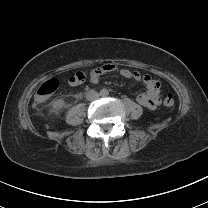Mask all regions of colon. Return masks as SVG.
Masks as SVG:
<instances>
[{
    "label": "colon",
    "instance_id": "1",
    "mask_svg": "<svg viewBox=\"0 0 208 208\" xmlns=\"http://www.w3.org/2000/svg\"><path fill=\"white\" fill-rule=\"evenodd\" d=\"M74 76H72L68 80L69 86H74L77 83L83 85L86 83V73L80 70L74 71ZM61 85V80L57 76H52L46 79L42 84L39 85L38 90L36 92V99L34 100V107L36 109H44L46 107V101L48 100L51 93L59 88ZM164 105L168 108L174 106V100L171 97H167L164 101Z\"/></svg>",
    "mask_w": 208,
    "mask_h": 208
}]
</instances>
